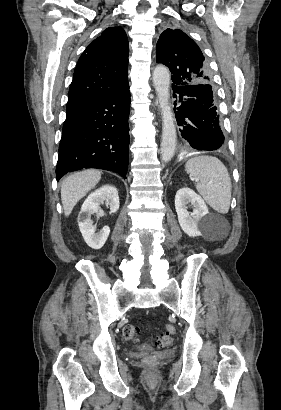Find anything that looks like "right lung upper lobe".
Listing matches in <instances>:
<instances>
[{
	"label": "right lung upper lobe",
	"instance_id": "obj_1",
	"mask_svg": "<svg viewBox=\"0 0 281 410\" xmlns=\"http://www.w3.org/2000/svg\"><path fill=\"white\" fill-rule=\"evenodd\" d=\"M128 39L125 31L109 27L92 41L77 63L69 89L67 111L128 85Z\"/></svg>",
	"mask_w": 281,
	"mask_h": 410
}]
</instances>
